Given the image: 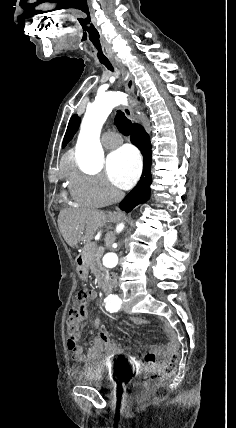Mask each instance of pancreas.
<instances>
[{
	"label": "pancreas",
	"mask_w": 236,
	"mask_h": 428,
	"mask_svg": "<svg viewBox=\"0 0 236 428\" xmlns=\"http://www.w3.org/2000/svg\"><path fill=\"white\" fill-rule=\"evenodd\" d=\"M96 252L95 244H86V246H84L82 256L88 266H92V264H100L102 252H98V254H96Z\"/></svg>",
	"instance_id": "obj_1"
}]
</instances>
